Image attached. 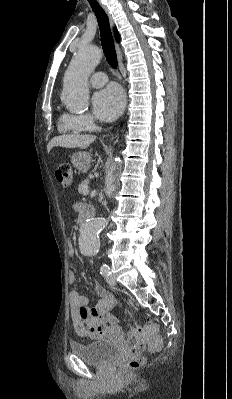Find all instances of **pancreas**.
Wrapping results in <instances>:
<instances>
[{"instance_id":"cf45deb5","label":"pancreas","mask_w":232,"mask_h":399,"mask_svg":"<svg viewBox=\"0 0 232 399\" xmlns=\"http://www.w3.org/2000/svg\"><path fill=\"white\" fill-rule=\"evenodd\" d=\"M88 184H89V180H83V182H81V184H79V186H78L79 194H83V192H85V190H87V188H85V186H88Z\"/></svg>"}]
</instances>
